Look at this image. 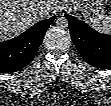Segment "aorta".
Wrapping results in <instances>:
<instances>
[{"label": "aorta", "mask_w": 111, "mask_h": 106, "mask_svg": "<svg viewBox=\"0 0 111 106\" xmlns=\"http://www.w3.org/2000/svg\"><path fill=\"white\" fill-rule=\"evenodd\" d=\"M57 25L61 28H65L68 26V21L65 17H59L57 20Z\"/></svg>", "instance_id": "obj_1"}]
</instances>
